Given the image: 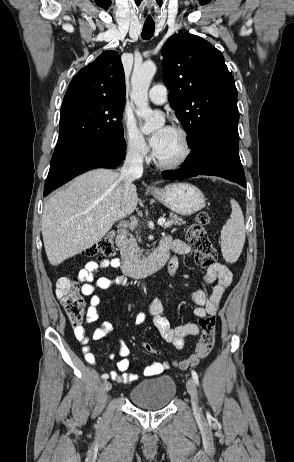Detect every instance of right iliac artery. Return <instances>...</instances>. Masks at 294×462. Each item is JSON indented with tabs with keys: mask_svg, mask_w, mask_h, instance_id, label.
I'll return each instance as SVG.
<instances>
[{
	"mask_svg": "<svg viewBox=\"0 0 294 462\" xmlns=\"http://www.w3.org/2000/svg\"><path fill=\"white\" fill-rule=\"evenodd\" d=\"M101 377H102L103 379H108V378H109L108 374H103Z\"/></svg>",
	"mask_w": 294,
	"mask_h": 462,
	"instance_id": "82829eb1",
	"label": "right iliac artery"
}]
</instances>
